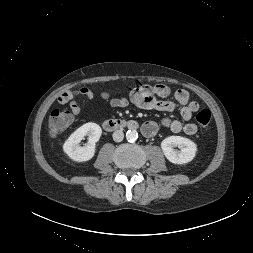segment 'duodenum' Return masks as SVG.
Listing matches in <instances>:
<instances>
[{"label": "duodenum", "instance_id": "obj_1", "mask_svg": "<svg viewBox=\"0 0 253 253\" xmlns=\"http://www.w3.org/2000/svg\"><path fill=\"white\" fill-rule=\"evenodd\" d=\"M103 127L107 131L120 129L137 130L139 128V124L135 120L107 119L103 122Z\"/></svg>", "mask_w": 253, "mask_h": 253}]
</instances>
